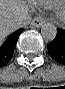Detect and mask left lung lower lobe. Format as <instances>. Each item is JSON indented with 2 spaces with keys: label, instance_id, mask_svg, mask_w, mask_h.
Segmentation results:
<instances>
[{
  "label": "left lung lower lobe",
  "instance_id": "obj_1",
  "mask_svg": "<svg viewBox=\"0 0 65 89\" xmlns=\"http://www.w3.org/2000/svg\"><path fill=\"white\" fill-rule=\"evenodd\" d=\"M47 49L54 60L65 65V28L58 30L55 39L47 45Z\"/></svg>",
  "mask_w": 65,
  "mask_h": 89
}]
</instances>
